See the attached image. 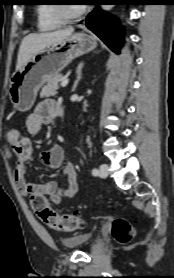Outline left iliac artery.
I'll use <instances>...</instances> for the list:
<instances>
[{"label":"left iliac artery","instance_id":"1","mask_svg":"<svg viewBox=\"0 0 174 278\" xmlns=\"http://www.w3.org/2000/svg\"><path fill=\"white\" fill-rule=\"evenodd\" d=\"M92 174H93L94 176H97V175L99 174V171H98L97 169H93V170H92Z\"/></svg>","mask_w":174,"mask_h":278}]
</instances>
